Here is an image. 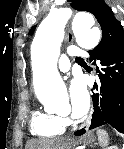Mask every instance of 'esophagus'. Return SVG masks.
I'll return each mask as SVG.
<instances>
[{"instance_id": "34e87169", "label": "esophagus", "mask_w": 124, "mask_h": 149, "mask_svg": "<svg viewBox=\"0 0 124 149\" xmlns=\"http://www.w3.org/2000/svg\"><path fill=\"white\" fill-rule=\"evenodd\" d=\"M68 28H69V30H68V32H67V40L69 41V42H72V31H71V27H69V24H68ZM91 117H92V110H91V112H90V116H89V119L85 122V124H84V127H85V129H89V127H90V125H91Z\"/></svg>"}]
</instances>
